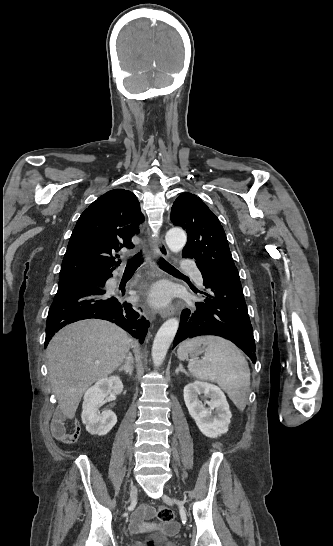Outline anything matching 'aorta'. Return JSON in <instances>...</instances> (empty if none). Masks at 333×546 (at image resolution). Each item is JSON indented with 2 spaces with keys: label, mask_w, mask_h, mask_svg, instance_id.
Masks as SVG:
<instances>
[{
  "label": "aorta",
  "mask_w": 333,
  "mask_h": 546,
  "mask_svg": "<svg viewBox=\"0 0 333 546\" xmlns=\"http://www.w3.org/2000/svg\"><path fill=\"white\" fill-rule=\"evenodd\" d=\"M168 248L177 253L183 249L186 244L187 236L181 228H171L165 236ZM179 321L176 318L168 319L158 330L153 345L152 359L156 366L161 365L164 361L167 351L172 343L178 330Z\"/></svg>",
  "instance_id": "1"
}]
</instances>
